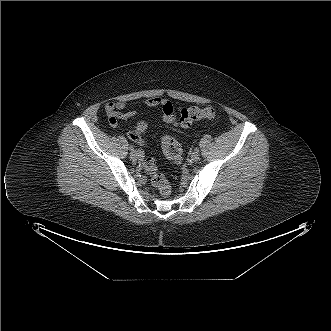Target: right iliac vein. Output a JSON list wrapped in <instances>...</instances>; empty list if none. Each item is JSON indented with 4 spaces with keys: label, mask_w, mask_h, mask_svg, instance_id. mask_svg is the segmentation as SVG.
I'll return each mask as SVG.
<instances>
[{
    "label": "right iliac vein",
    "mask_w": 331,
    "mask_h": 331,
    "mask_svg": "<svg viewBox=\"0 0 331 331\" xmlns=\"http://www.w3.org/2000/svg\"><path fill=\"white\" fill-rule=\"evenodd\" d=\"M130 157L134 160H137L141 157V154L138 151H134L130 153Z\"/></svg>",
    "instance_id": "63e3f726"
}]
</instances>
